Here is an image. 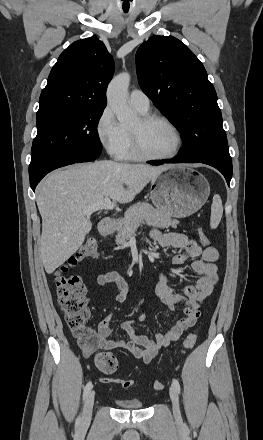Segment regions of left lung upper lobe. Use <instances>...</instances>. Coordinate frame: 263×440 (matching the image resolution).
Instances as JSON below:
<instances>
[{
	"mask_svg": "<svg viewBox=\"0 0 263 440\" xmlns=\"http://www.w3.org/2000/svg\"><path fill=\"white\" fill-rule=\"evenodd\" d=\"M139 84L184 139L189 162L231 159L217 94L202 63L180 40L153 36L136 52Z\"/></svg>",
	"mask_w": 263,
	"mask_h": 440,
	"instance_id": "1",
	"label": "left lung upper lobe"
}]
</instances>
